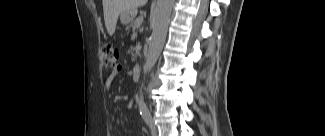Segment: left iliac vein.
Instances as JSON below:
<instances>
[{
    "label": "left iliac vein",
    "mask_w": 325,
    "mask_h": 136,
    "mask_svg": "<svg viewBox=\"0 0 325 136\" xmlns=\"http://www.w3.org/2000/svg\"><path fill=\"white\" fill-rule=\"evenodd\" d=\"M151 134L157 136V127L154 124L151 127Z\"/></svg>",
    "instance_id": "obj_1"
}]
</instances>
